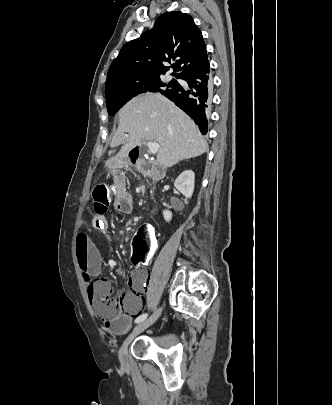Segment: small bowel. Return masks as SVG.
<instances>
[{
	"mask_svg": "<svg viewBox=\"0 0 332 405\" xmlns=\"http://www.w3.org/2000/svg\"><path fill=\"white\" fill-rule=\"evenodd\" d=\"M114 179L115 184L118 186V191L116 197L112 199V210L123 214H130L133 209V199L124 185V180L127 179V172L115 171ZM91 213L96 217L100 212L95 208ZM104 226V224H101L96 227L102 230ZM108 240H111L110 236H108ZM75 252L80 272L85 281L84 283H89L100 272L101 257L99 250L87 235L79 233L76 239ZM148 279V273L142 267H138L129 276L127 283L130 292L126 294L130 296V300L124 306V314L107 319L106 326L110 331L115 334H123L128 330L131 318L141 312L142 300L139 295L145 292Z\"/></svg>",
	"mask_w": 332,
	"mask_h": 405,
	"instance_id": "c3829d8e",
	"label": "small bowel"
}]
</instances>
